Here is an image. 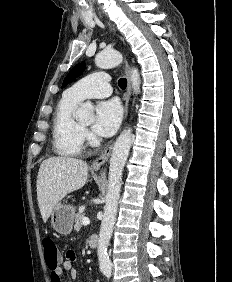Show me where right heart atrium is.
<instances>
[{"instance_id":"right-heart-atrium-1","label":"right heart atrium","mask_w":232,"mask_h":282,"mask_svg":"<svg viewBox=\"0 0 232 282\" xmlns=\"http://www.w3.org/2000/svg\"><path fill=\"white\" fill-rule=\"evenodd\" d=\"M84 135H85L87 138H90V137H91L90 134H89L87 131L84 132Z\"/></svg>"}]
</instances>
